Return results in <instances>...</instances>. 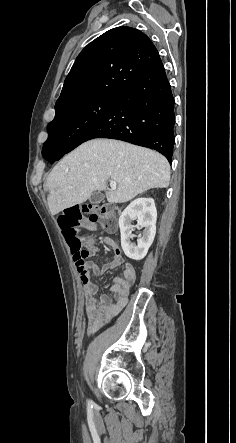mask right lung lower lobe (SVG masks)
Segmentation results:
<instances>
[{
    "label": "right lung lower lobe",
    "instance_id": "98d812e1",
    "mask_svg": "<svg viewBox=\"0 0 236 443\" xmlns=\"http://www.w3.org/2000/svg\"><path fill=\"white\" fill-rule=\"evenodd\" d=\"M174 124V98L159 58L100 115L84 124L67 147L50 146L42 155L54 163L87 140L111 138L157 150L171 163Z\"/></svg>",
    "mask_w": 236,
    "mask_h": 443
}]
</instances>
